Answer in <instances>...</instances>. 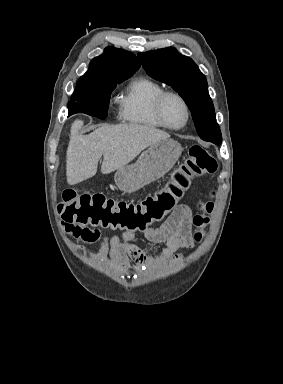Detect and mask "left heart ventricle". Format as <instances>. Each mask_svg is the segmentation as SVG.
<instances>
[{"instance_id":"obj_1","label":"left heart ventricle","mask_w":283,"mask_h":384,"mask_svg":"<svg viewBox=\"0 0 283 384\" xmlns=\"http://www.w3.org/2000/svg\"><path fill=\"white\" fill-rule=\"evenodd\" d=\"M163 117L165 122L172 127L183 125L186 114L182 103L176 97L170 96L165 100Z\"/></svg>"}]
</instances>
